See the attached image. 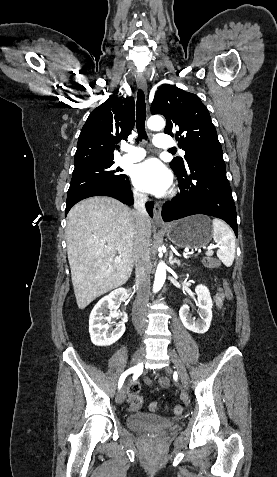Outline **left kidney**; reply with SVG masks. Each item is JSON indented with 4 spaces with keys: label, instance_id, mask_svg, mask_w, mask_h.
<instances>
[{
    "label": "left kidney",
    "instance_id": "left-kidney-1",
    "mask_svg": "<svg viewBox=\"0 0 277 477\" xmlns=\"http://www.w3.org/2000/svg\"><path fill=\"white\" fill-rule=\"evenodd\" d=\"M195 292L198 296V307L200 309L199 320L192 318L190 309L187 304H184L179 310V316L184 327L190 331L198 334H204L208 331L212 320V306L213 302L210 296V292L205 285H198L195 288Z\"/></svg>",
    "mask_w": 277,
    "mask_h": 477
}]
</instances>
